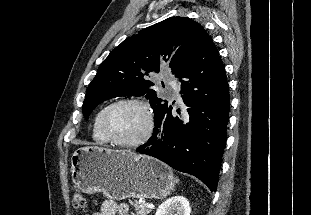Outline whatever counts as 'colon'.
<instances>
[{
  "label": "colon",
  "instance_id": "obj_1",
  "mask_svg": "<svg viewBox=\"0 0 311 215\" xmlns=\"http://www.w3.org/2000/svg\"><path fill=\"white\" fill-rule=\"evenodd\" d=\"M86 200L82 193L75 192L72 198V205L75 209H82L85 207Z\"/></svg>",
  "mask_w": 311,
  "mask_h": 215
}]
</instances>
